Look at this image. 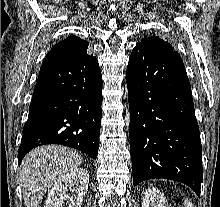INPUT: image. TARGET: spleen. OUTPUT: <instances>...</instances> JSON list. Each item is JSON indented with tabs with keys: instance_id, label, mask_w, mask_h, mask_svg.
Returning a JSON list of instances; mask_svg holds the SVG:
<instances>
[{
	"instance_id": "1",
	"label": "spleen",
	"mask_w": 220,
	"mask_h": 207,
	"mask_svg": "<svg viewBox=\"0 0 220 207\" xmlns=\"http://www.w3.org/2000/svg\"><path fill=\"white\" fill-rule=\"evenodd\" d=\"M184 205H185V207H193L192 202L190 200H188V199H185Z\"/></svg>"
}]
</instances>
